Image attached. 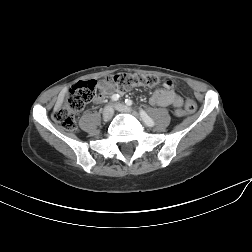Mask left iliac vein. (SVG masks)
I'll use <instances>...</instances> for the list:
<instances>
[{
	"label": "left iliac vein",
	"instance_id": "1",
	"mask_svg": "<svg viewBox=\"0 0 252 252\" xmlns=\"http://www.w3.org/2000/svg\"><path fill=\"white\" fill-rule=\"evenodd\" d=\"M115 108L116 110H118L119 112H122V113H132L133 115H137L135 112L132 111V109L124 104H121V103H117L115 104Z\"/></svg>",
	"mask_w": 252,
	"mask_h": 252
}]
</instances>
